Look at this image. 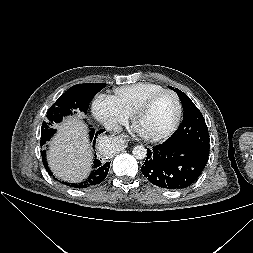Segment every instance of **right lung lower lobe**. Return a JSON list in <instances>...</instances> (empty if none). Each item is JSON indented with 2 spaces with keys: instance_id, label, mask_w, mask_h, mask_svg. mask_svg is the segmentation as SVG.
Masks as SVG:
<instances>
[{
  "instance_id": "right-lung-lower-lobe-1",
  "label": "right lung lower lobe",
  "mask_w": 253,
  "mask_h": 253,
  "mask_svg": "<svg viewBox=\"0 0 253 253\" xmlns=\"http://www.w3.org/2000/svg\"><path fill=\"white\" fill-rule=\"evenodd\" d=\"M90 139L93 143V146H95L96 143V138L103 133L105 130L101 129L99 131H95V129L90 128ZM43 145L41 144V147ZM41 155H42V160H43V164L44 167L46 168L47 172L52 176V172L50 171L48 165H47V161H46V152L45 151H41ZM97 156L95 155V159L93 162V170L90 173V175L88 176L87 179H85L84 181L80 182V183H68V182H63L60 181L62 184L74 187V188H87L90 186H94V185H98L100 184L107 176L108 171H109V167H110V162L104 160V159H97Z\"/></svg>"
}]
</instances>
